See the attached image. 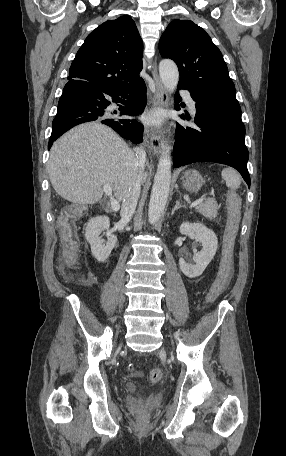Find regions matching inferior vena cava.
<instances>
[{"mask_svg":"<svg viewBox=\"0 0 286 456\" xmlns=\"http://www.w3.org/2000/svg\"><path fill=\"white\" fill-rule=\"evenodd\" d=\"M136 157H137V175L133 179L131 186L129 187V190L126 192V194L123 197L122 200V206H121V220L124 222H128L131 220L133 217V214L135 212L138 198L140 196V183H141V169L145 163L146 160V153L143 149L138 148L136 150Z\"/></svg>","mask_w":286,"mask_h":456,"instance_id":"602c4592","label":"inferior vena cava"}]
</instances>
